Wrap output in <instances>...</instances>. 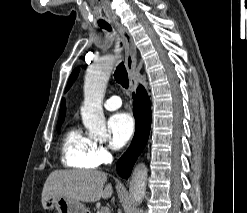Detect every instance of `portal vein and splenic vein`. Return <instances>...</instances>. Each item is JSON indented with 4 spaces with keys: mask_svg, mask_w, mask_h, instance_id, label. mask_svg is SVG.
Masks as SVG:
<instances>
[{
    "mask_svg": "<svg viewBox=\"0 0 247 213\" xmlns=\"http://www.w3.org/2000/svg\"><path fill=\"white\" fill-rule=\"evenodd\" d=\"M100 213H110V210L108 207H102Z\"/></svg>",
    "mask_w": 247,
    "mask_h": 213,
    "instance_id": "portal-vein-and-splenic-vein-1",
    "label": "portal vein and splenic vein"
}]
</instances>
